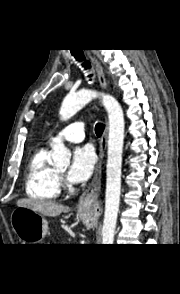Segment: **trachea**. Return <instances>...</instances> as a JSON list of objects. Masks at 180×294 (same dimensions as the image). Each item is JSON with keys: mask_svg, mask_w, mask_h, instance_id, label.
Segmentation results:
<instances>
[{"mask_svg": "<svg viewBox=\"0 0 180 294\" xmlns=\"http://www.w3.org/2000/svg\"><path fill=\"white\" fill-rule=\"evenodd\" d=\"M72 55L76 58V60H85L84 58V54H83V51L81 49H77L75 51H72ZM86 69H89L90 68V63L88 61H85L83 64H82ZM104 124L102 123H97L96 126H95V133L98 137H100L104 131Z\"/></svg>", "mask_w": 180, "mask_h": 294, "instance_id": "obj_1", "label": "trachea"}]
</instances>
